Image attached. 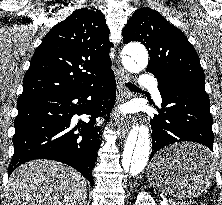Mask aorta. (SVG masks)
I'll list each match as a JSON object with an SVG mask.
<instances>
[{"label": "aorta", "mask_w": 222, "mask_h": 205, "mask_svg": "<svg viewBox=\"0 0 222 205\" xmlns=\"http://www.w3.org/2000/svg\"><path fill=\"white\" fill-rule=\"evenodd\" d=\"M123 65L131 72L143 69L148 64V52L138 43L127 45L123 50ZM149 129L145 125L133 128L125 141L121 168L125 176L134 177L146 166L150 155Z\"/></svg>", "instance_id": "762f6f07"}]
</instances>
